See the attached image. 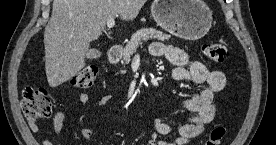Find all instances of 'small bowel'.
<instances>
[{
	"label": "small bowel",
	"mask_w": 276,
	"mask_h": 145,
	"mask_svg": "<svg viewBox=\"0 0 276 145\" xmlns=\"http://www.w3.org/2000/svg\"><path fill=\"white\" fill-rule=\"evenodd\" d=\"M150 53L155 57L164 56L171 62L173 65L172 78L176 82H188L194 86L203 85L200 93L182 101V108L190 112L191 116L187 123L177 129L170 141L158 139V135L171 134L170 126L160 121L153 124L155 132L149 145H186L200 135L205 126L213 120L216 111L214 96L224 88L225 75L218 70H209L202 62L190 60L183 50L165 45L162 42L152 43ZM78 98L83 105L88 107L104 106L113 100L111 95H103L95 102H91L86 93H80ZM64 120L65 117L60 112L54 116L53 129L57 134L62 132ZM30 129L34 133H39L40 130L35 123L30 124ZM80 135L82 138L90 140L94 137L95 131L90 128H83L80 130ZM42 144L52 145L47 139H43Z\"/></svg>",
	"instance_id": "small-bowel-1"
}]
</instances>
